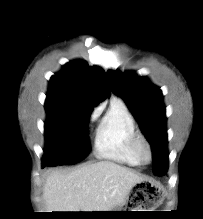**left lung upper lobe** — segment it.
<instances>
[{
	"label": "left lung upper lobe",
	"mask_w": 203,
	"mask_h": 219,
	"mask_svg": "<svg viewBox=\"0 0 203 219\" xmlns=\"http://www.w3.org/2000/svg\"><path fill=\"white\" fill-rule=\"evenodd\" d=\"M107 79L114 94L123 98L149 141L153 154V172L167 169L166 110L159 87L133 72L108 71Z\"/></svg>",
	"instance_id": "5c2ea615"
}]
</instances>
